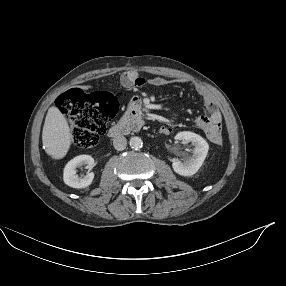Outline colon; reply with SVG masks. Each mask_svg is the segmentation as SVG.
<instances>
[{
  "instance_id": "5ec220e1",
  "label": "colon",
  "mask_w": 286,
  "mask_h": 286,
  "mask_svg": "<svg viewBox=\"0 0 286 286\" xmlns=\"http://www.w3.org/2000/svg\"><path fill=\"white\" fill-rule=\"evenodd\" d=\"M57 106L70 122L73 144L81 149H89L105 133L118 110V101L109 93L86 94L78 89H70L59 95ZM203 136L208 143L220 144L224 131L219 124L211 123L204 128Z\"/></svg>"
}]
</instances>
